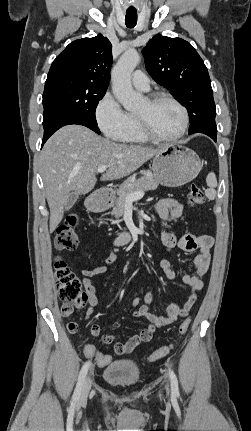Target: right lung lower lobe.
Segmentation results:
<instances>
[{
  "label": "right lung lower lobe",
  "mask_w": 251,
  "mask_h": 431,
  "mask_svg": "<svg viewBox=\"0 0 251 431\" xmlns=\"http://www.w3.org/2000/svg\"><path fill=\"white\" fill-rule=\"evenodd\" d=\"M70 124L83 125V126L90 128L94 132L100 134V130L97 127V123H94L88 119H85V118H82L79 116H75V115H62V116H58V117L50 120L49 122L43 124V126H44V137L42 140V146L55 131H57L59 128L65 126V125H70Z\"/></svg>",
  "instance_id": "obj_1"
}]
</instances>
